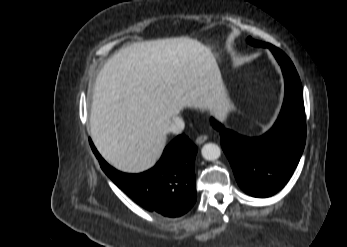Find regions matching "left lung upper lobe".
<instances>
[{"label": "left lung upper lobe", "instance_id": "5c2ea615", "mask_svg": "<svg viewBox=\"0 0 347 247\" xmlns=\"http://www.w3.org/2000/svg\"><path fill=\"white\" fill-rule=\"evenodd\" d=\"M248 43H250L251 45L254 46H259V47H268L270 48L272 45L269 43H264V42H259V41H255L253 40L251 37H248L247 39Z\"/></svg>", "mask_w": 347, "mask_h": 247}]
</instances>
